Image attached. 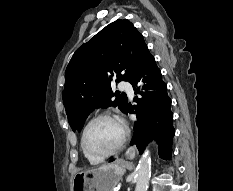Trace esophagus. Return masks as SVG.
Instances as JSON below:
<instances>
[{
    "label": "esophagus",
    "mask_w": 233,
    "mask_h": 191,
    "mask_svg": "<svg viewBox=\"0 0 233 191\" xmlns=\"http://www.w3.org/2000/svg\"><path fill=\"white\" fill-rule=\"evenodd\" d=\"M135 152V148H130L129 150H128V153H130V154H133Z\"/></svg>",
    "instance_id": "obj_1"
}]
</instances>
